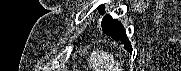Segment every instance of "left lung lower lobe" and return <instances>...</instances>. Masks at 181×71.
Returning <instances> with one entry per match:
<instances>
[{"label": "left lung lower lobe", "mask_w": 181, "mask_h": 71, "mask_svg": "<svg viewBox=\"0 0 181 71\" xmlns=\"http://www.w3.org/2000/svg\"><path fill=\"white\" fill-rule=\"evenodd\" d=\"M102 29L104 33L111 36L114 40H121V43L124 44V48L129 52L132 51V47L127 38L125 29L120 22L112 19V17L109 15H105L102 20Z\"/></svg>", "instance_id": "obj_1"}]
</instances>
